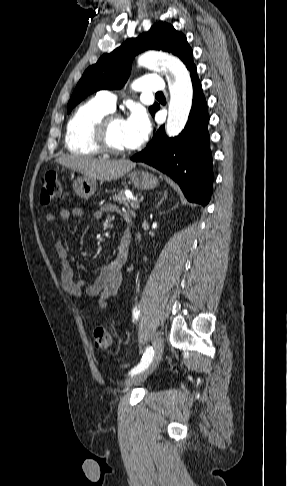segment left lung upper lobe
<instances>
[{"label": "left lung upper lobe", "instance_id": "left-lung-upper-lobe-1", "mask_svg": "<svg viewBox=\"0 0 287 486\" xmlns=\"http://www.w3.org/2000/svg\"><path fill=\"white\" fill-rule=\"evenodd\" d=\"M149 49L162 50L178 56L185 64L192 58V49L186 36L168 23L158 22L148 32L126 40L120 47L102 55L91 65L79 80L69 102L68 113L88 95L102 89H120L127 81L132 59ZM158 104L149 108L152 115Z\"/></svg>", "mask_w": 287, "mask_h": 486}]
</instances>
